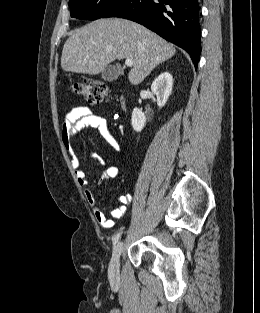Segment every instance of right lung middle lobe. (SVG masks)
<instances>
[{"mask_svg": "<svg viewBox=\"0 0 260 313\" xmlns=\"http://www.w3.org/2000/svg\"><path fill=\"white\" fill-rule=\"evenodd\" d=\"M122 0H69L71 17L95 20L102 18Z\"/></svg>", "mask_w": 260, "mask_h": 313, "instance_id": "right-lung-middle-lobe-1", "label": "right lung middle lobe"}]
</instances>
